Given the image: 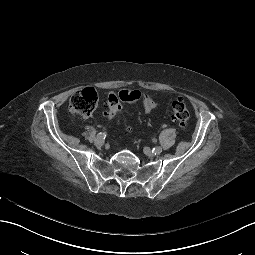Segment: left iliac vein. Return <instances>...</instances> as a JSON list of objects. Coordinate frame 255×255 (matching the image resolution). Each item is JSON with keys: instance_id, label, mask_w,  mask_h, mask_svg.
Instances as JSON below:
<instances>
[{"instance_id": "1", "label": "left iliac vein", "mask_w": 255, "mask_h": 255, "mask_svg": "<svg viewBox=\"0 0 255 255\" xmlns=\"http://www.w3.org/2000/svg\"><path fill=\"white\" fill-rule=\"evenodd\" d=\"M144 153H145L147 156H149V157H152V156L155 155V153H154L150 148H148V147H145V148H144Z\"/></svg>"}]
</instances>
